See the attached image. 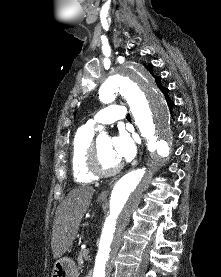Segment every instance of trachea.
<instances>
[{"label": "trachea", "instance_id": "1", "mask_svg": "<svg viewBox=\"0 0 221 277\" xmlns=\"http://www.w3.org/2000/svg\"><path fill=\"white\" fill-rule=\"evenodd\" d=\"M127 119L129 120V119H131V117H130V115L129 114H127Z\"/></svg>", "mask_w": 221, "mask_h": 277}]
</instances>
